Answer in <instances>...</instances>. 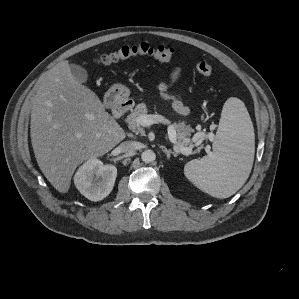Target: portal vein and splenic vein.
I'll list each match as a JSON object with an SVG mask.
<instances>
[{"label":"portal vein and splenic vein","mask_w":299,"mask_h":299,"mask_svg":"<svg viewBox=\"0 0 299 299\" xmlns=\"http://www.w3.org/2000/svg\"><path fill=\"white\" fill-rule=\"evenodd\" d=\"M137 123L143 127L151 126L152 124L157 123H163L168 125V138L171 142L175 143V147L178 150V152L184 154V155H190L192 154L193 146L188 147H180L176 142V130L172 124H170V121L166 119L164 116L159 114H146V115H140L137 118Z\"/></svg>","instance_id":"1"}]
</instances>
